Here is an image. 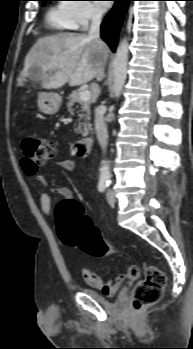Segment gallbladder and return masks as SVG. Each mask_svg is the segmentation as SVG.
I'll use <instances>...</instances> for the list:
<instances>
[{
  "label": "gallbladder",
  "instance_id": "bac80fb5",
  "mask_svg": "<svg viewBox=\"0 0 193 349\" xmlns=\"http://www.w3.org/2000/svg\"><path fill=\"white\" fill-rule=\"evenodd\" d=\"M30 73H32V69H30Z\"/></svg>",
  "mask_w": 193,
  "mask_h": 349
}]
</instances>
